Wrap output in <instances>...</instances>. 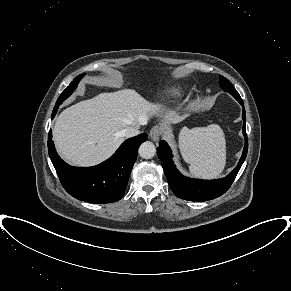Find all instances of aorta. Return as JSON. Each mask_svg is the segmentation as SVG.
Instances as JSON below:
<instances>
[{
    "label": "aorta",
    "mask_w": 291,
    "mask_h": 291,
    "mask_svg": "<svg viewBox=\"0 0 291 291\" xmlns=\"http://www.w3.org/2000/svg\"><path fill=\"white\" fill-rule=\"evenodd\" d=\"M138 152L142 158L151 159L156 154V147L152 142L146 141L140 145Z\"/></svg>",
    "instance_id": "aorta-1"
}]
</instances>
